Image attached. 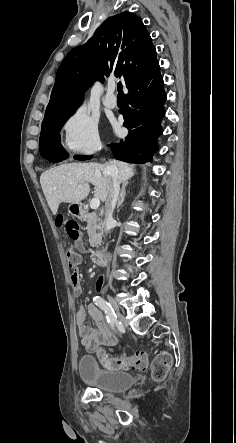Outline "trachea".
Listing matches in <instances>:
<instances>
[{"label":"trachea","mask_w":236,"mask_h":443,"mask_svg":"<svg viewBox=\"0 0 236 443\" xmlns=\"http://www.w3.org/2000/svg\"><path fill=\"white\" fill-rule=\"evenodd\" d=\"M117 90H118V96H123L122 83L121 82H119L117 84Z\"/></svg>","instance_id":"1"}]
</instances>
